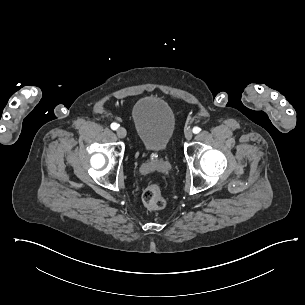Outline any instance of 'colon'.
Listing matches in <instances>:
<instances>
[{"label": "colon", "mask_w": 305, "mask_h": 305, "mask_svg": "<svg viewBox=\"0 0 305 305\" xmlns=\"http://www.w3.org/2000/svg\"><path fill=\"white\" fill-rule=\"evenodd\" d=\"M142 203L149 211H159L166 206L165 197L157 186H148L142 194Z\"/></svg>", "instance_id": "obj_1"}]
</instances>
